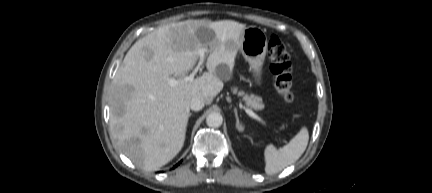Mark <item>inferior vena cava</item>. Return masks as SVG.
I'll return each mask as SVG.
<instances>
[{"label": "inferior vena cava", "mask_w": 432, "mask_h": 193, "mask_svg": "<svg viewBox=\"0 0 432 193\" xmlns=\"http://www.w3.org/2000/svg\"><path fill=\"white\" fill-rule=\"evenodd\" d=\"M205 105L204 98L200 95H195L192 97L190 102V108L194 111L201 110Z\"/></svg>", "instance_id": "obj_1"}]
</instances>
